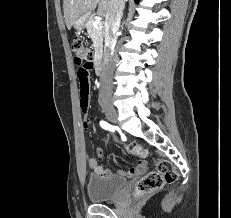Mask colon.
<instances>
[{
	"label": "colon",
	"instance_id": "obj_1",
	"mask_svg": "<svg viewBox=\"0 0 231 218\" xmlns=\"http://www.w3.org/2000/svg\"><path fill=\"white\" fill-rule=\"evenodd\" d=\"M74 62L81 66L87 60H93V52L79 37H75L71 44ZM128 153L140 157L148 155L147 150L140 144L130 142L125 145ZM178 179V173L173 164L166 159L155 161V170L142 177L136 184L134 195L136 198L145 197L163 187L164 184H172Z\"/></svg>",
	"mask_w": 231,
	"mask_h": 218
}]
</instances>
